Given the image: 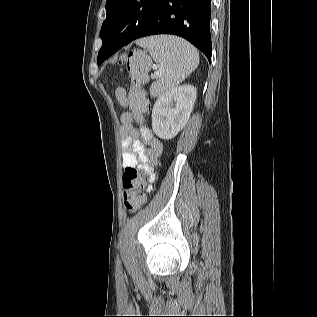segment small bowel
I'll list each match as a JSON object with an SVG mask.
<instances>
[{
  "mask_svg": "<svg viewBox=\"0 0 317 317\" xmlns=\"http://www.w3.org/2000/svg\"><path fill=\"white\" fill-rule=\"evenodd\" d=\"M116 99L125 109L120 116L122 137V166L144 169L149 175V181L154 180L152 168L163 150L162 142L154 137L145 126L138 129L134 126L139 122L143 113L150 108L145 92L132 87L129 91L123 87L116 90ZM151 186H148L150 191Z\"/></svg>",
  "mask_w": 317,
  "mask_h": 317,
  "instance_id": "1",
  "label": "small bowel"
}]
</instances>
